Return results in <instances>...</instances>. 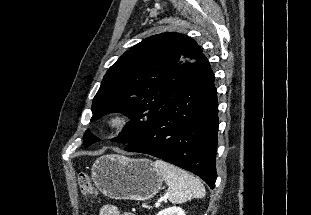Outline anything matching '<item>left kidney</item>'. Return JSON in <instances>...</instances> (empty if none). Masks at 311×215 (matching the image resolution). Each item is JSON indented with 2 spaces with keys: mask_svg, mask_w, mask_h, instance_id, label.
Instances as JSON below:
<instances>
[{
  "mask_svg": "<svg viewBox=\"0 0 311 215\" xmlns=\"http://www.w3.org/2000/svg\"><path fill=\"white\" fill-rule=\"evenodd\" d=\"M157 215H185L182 208L173 206L160 211Z\"/></svg>",
  "mask_w": 311,
  "mask_h": 215,
  "instance_id": "5707ae66",
  "label": "left kidney"
}]
</instances>
